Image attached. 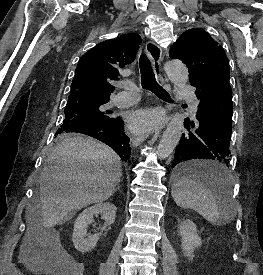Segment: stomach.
<instances>
[{
    "label": "stomach",
    "instance_id": "obj_1",
    "mask_svg": "<svg viewBox=\"0 0 263 275\" xmlns=\"http://www.w3.org/2000/svg\"><path fill=\"white\" fill-rule=\"evenodd\" d=\"M192 164H196V162H192Z\"/></svg>",
    "mask_w": 263,
    "mask_h": 275
}]
</instances>
